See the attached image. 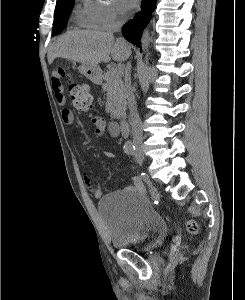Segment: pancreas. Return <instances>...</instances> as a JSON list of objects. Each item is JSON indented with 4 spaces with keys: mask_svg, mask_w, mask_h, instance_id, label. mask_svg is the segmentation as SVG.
<instances>
[{
    "mask_svg": "<svg viewBox=\"0 0 245 300\" xmlns=\"http://www.w3.org/2000/svg\"><path fill=\"white\" fill-rule=\"evenodd\" d=\"M105 83L102 85L107 91L106 111L112 118H119L126 111V92L122 81V70H109L104 74Z\"/></svg>",
    "mask_w": 245,
    "mask_h": 300,
    "instance_id": "obj_1",
    "label": "pancreas"
}]
</instances>
